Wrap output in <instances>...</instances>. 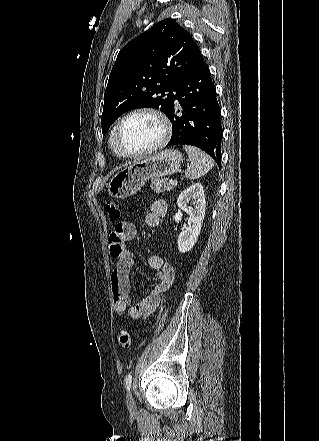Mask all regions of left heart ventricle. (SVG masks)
<instances>
[{"instance_id": "left-heart-ventricle-1", "label": "left heart ventricle", "mask_w": 319, "mask_h": 441, "mask_svg": "<svg viewBox=\"0 0 319 441\" xmlns=\"http://www.w3.org/2000/svg\"><path fill=\"white\" fill-rule=\"evenodd\" d=\"M161 136L158 121L146 114L127 119L121 127L119 138L122 148L135 153L153 146Z\"/></svg>"}]
</instances>
